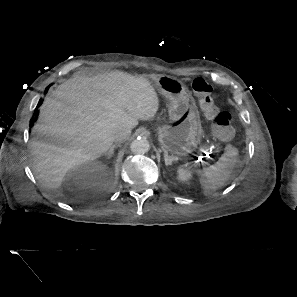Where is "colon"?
I'll use <instances>...</instances> for the list:
<instances>
[{
  "label": "colon",
  "mask_w": 297,
  "mask_h": 297,
  "mask_svg": "<svg viewBox=\"0 0 297 297\" xmlns=\"http://www.w3.org/2000/svg\"><path fill=\"white\" fill-rule=\"evenodd\" d=\"M191 87L198 98L202 112L212 121L214 134L220 139H230L233 135L231 114L215 106L209 83L203 78H195L191 82Z\"/></svg>",
  "instance_id": "1"
}]
</instances>
